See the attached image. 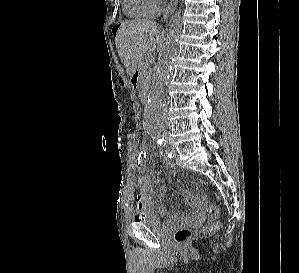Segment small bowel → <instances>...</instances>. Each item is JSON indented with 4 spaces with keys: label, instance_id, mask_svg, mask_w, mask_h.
Returning a JSON list of instances; mask_svg holds the SVG:
<instances>
[{
    "label": "small bowel",
    "instance_id": "obj_1",
    "mask_svg": "<svg viewBox=\"0 0 299 273\" xmlns=\"http://www.w3.org/2000/svg\"><path fill=\"white\" fill-rule=\"evenodd\" d=\"M147 152V150L142 149L138 155L135 167L139 172L143 171L145 167ZM168 168L172 174H176L177 169L172 163H168ZM136 188L137 189L134 196V200L136 203L135 220H137L144 211H152L158 214H163V209L156 205L155 195L152 191L151 181L148 176H139L137 179ZM167 195V190L165 188H161L157 196L158 201H165ZM184 198L195 209L197 213L201 212L202 204L200 199L196 195L190 192H185ZM171 220L173 222H180L187 219H183L178 214H174Z\"/></svg>",
    "mask_w": 299,
    "mask_h": 273
}]
</instances>
